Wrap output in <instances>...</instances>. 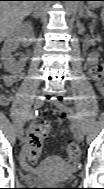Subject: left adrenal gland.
<instances>
[{
    "label": "left adrenal gland",
    "instance_id": "a2214340",
    "mask_svg": "<svg viewBox=\"0 0 104 189\" xmlns=\"http://www.w3.org/2000/svg\"><path fill=\"white\" fill-rule=\"evenodd\" d=\"M79 17H81V18H87V16L84 14L83 8H81V9L79 10Z\"/></svg>",
    "mask_w": 104,
    "mask_h": 189
}]
</instances>
